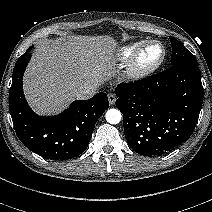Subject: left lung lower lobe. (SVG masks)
I'll use <instances>...</instances> for the list:
<instances>
[{"label":"left lung lower lobe","instance_id":"obj_1","mask_svg":"<svg viewBox=\"0 0 212 212\" xmlns=\"http://www.w3.org/2000/svg\"><path fill=\"white\" fill-rule=\"evenodd\" d=\"M115 93L127 142L144 156H160L187 141L203 102L198 63L121 83Z\"/></svg>","mask_w":212,"mask_h":212}]
</instances>
